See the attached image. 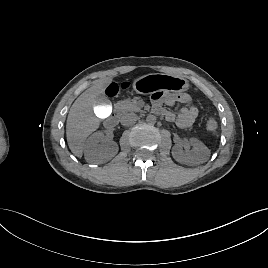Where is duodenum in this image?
<instances>
[{
  "instance_id": "410a0bca",
  "label": "duodenum",
  "mask_w": 268,
  "mask_h": 268,
  "mask_svg": "<svg viewBox=\"0 0 268 268\" xmlns=\"http://www.w3.org/2000/svg\"><path fill=\"white\" fill-rule=\"evenodd\" d=\"M119 116L114 113L106 120V124L108 127H113L118 122Z\"/></svg>"
}]
</instances>
